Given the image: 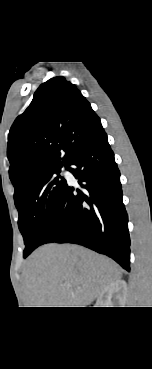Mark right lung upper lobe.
<instances>
[{
	"instance_id": "1",
	"label": "right lung upper lobe",
	"mask_w": 152,
	"mask_h": 369,
	"mask_svg": "<svg viewBox=\"0 0 152 369\" xmlns=\"http://www.w3.org/2000/svg\"><path fill=\"white\" fill-rule=\"evenodd\" d=\"M102 129L100 118L74 84L55 77L40 85L8 135L14 196L38 174L68 164L75 152Z\"/></svg>"
}]
</instances>
